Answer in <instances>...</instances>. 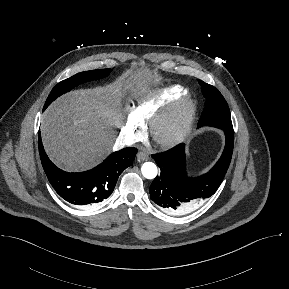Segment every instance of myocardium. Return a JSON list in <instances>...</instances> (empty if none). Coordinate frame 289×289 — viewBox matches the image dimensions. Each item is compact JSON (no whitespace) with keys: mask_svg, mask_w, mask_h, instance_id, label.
<instances>
[{"mask_svg":"<svg viewBox=\"0 0 289 289\" xmlns=\"http://www.w3.org/2000/svg\"><path fill=\"white\" fill-rule=\"evenodd\" d=\"M197 111L194 98L184 93L172 100L149 121V134L151 138L162 147H172L180 143L189 133ZM177 117L178 121L173 130L167 134L162 133L163 125Z\"/></svg>","mask_w":289,"mask_h":289,"instance_id":"obj_1","label":"myocardium"}]
</instances>
